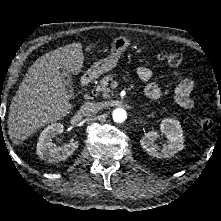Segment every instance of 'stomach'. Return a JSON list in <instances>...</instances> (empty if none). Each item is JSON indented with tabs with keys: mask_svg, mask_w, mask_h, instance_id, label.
Returning <instances> with one entry per match:
<instances>
[{
	"mask_svg": "<svg viewBox=\"0 0 221 221\" xmlns=\"http://www.w3.org/2000/svg\"><path fill=\"white\" fill-rule=\"evenodd\" d=\"M130 45V40L124 36H119L115 38L111 44L110 55L105 58L95 62L91 68L88 70V73L96 78L100 75L111 71L118 62L120 56Z\"/></svg>",
	"mask_w": 221,
	"mask_h": 221,
	"instance_id": "obj_1",
	"label": "stomach"
}]
</instances>
